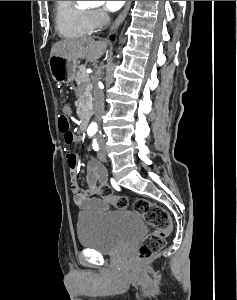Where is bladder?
I'll return each mask as SVG.
<instances>
[{
    "mask_svg": "<svg viewBox=\"0 0 237 300\" xmlns=\"http://www.w3.org/2000/svg\"><path fill=\"white\" fill-rule=\"evenodd\" d=\"M146 231L136 212L116 210L108 215L85 213L77 223L76 233L83 248L100 254H115L132 245Z\"/></svg>",
    "mask_w": 237,
    "mask_h": 300,
    "instance_id": "31cf9c89",
    "label": "bladder"
}]
</instances>
